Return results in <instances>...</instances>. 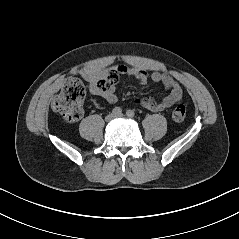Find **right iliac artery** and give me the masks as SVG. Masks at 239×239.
Here are the masks:
<instances>
[{"mask_svg": "<svg viewBox=\"0 0 239 239\" xmlns=\"http://www.w3.org/2000/svg\"><path fill=\"white\" fill-rule=\"evenodd\" d=\"M112 112H113L114 115H120V114H122V109L120 107H115L112 110Z\"/></svg>", "mask_w": 239, "mask_h": 239, "instance_id": "obj_1", "label": "right iliac artery"}]
</instances>
